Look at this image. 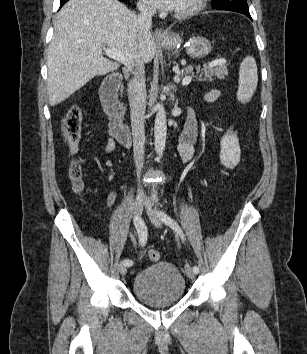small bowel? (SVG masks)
I'll return each instance as SVG.
<instances>
[{
    "label": "small bowel",
    "mask_w": 307,
    "mask_h": 354,
    "mask_svg": "<svg viewBox=\"0 0 307 354\" xmlns=\"http://www.w3.org/2000/svg\"><path fill=\"white\" fill-rule=\"evenodd\" d=\"M219 96L217 90H212L206 94L207 101H214ZM197 138V126L192 119H188L184 129L180 136L178 151L184 163L191 161L193 157V145ZM116 138L111 134L107 140V143L103 149L105 155L110 154L116 147ZM240 147L238 143L237 135L229 128L224 134L221 141V163L227 169L234 168L239 162ZM115 193L109 195V203H113L115 200Z\"/></svg>",
    "instance_id": "c3829d8e"
}]
</instances>
